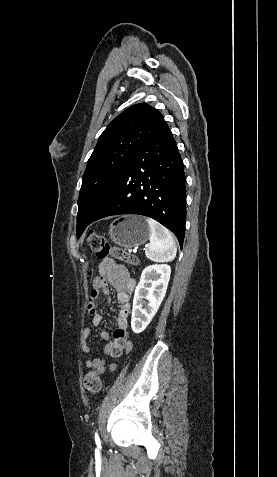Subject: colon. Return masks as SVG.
Returning a JSON list of instances; mask_svg holds the SVG:
<instances>
[{
	"mask_svg": "<svg viewBox=\"0 0 277 477\" xmlns=\"http://www.w3.org/2000/svg\"><path fill=\"white\" fill-rule=\"evenodd\" d=\"M86 244L89 250L98 259L113 256L116 259L127 262L132 268H139L141 265L138 256H134L125 250L113 246L104 236L91 232L86 237ZM84 386L90 393H97L101 389V380L97 371H90L84 378Z\"/></svg>",
	"mask_w": 277,
	"mask_h": 477,
	"instance_id": "1",
	"label": "colon"
}]
</instances>
